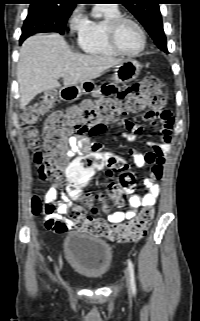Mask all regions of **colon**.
<instances>
[{
	"instance_id": "colon-1",
	"label": "colon",
	"mask_w": 200,
	"mask_h": 321,
	"mask_svg": "<svg viewBox=\"0 0 200 321\" xmlns=\"http://www.w3.org/2000/svg\"><path fill=\"white\" fill-rule=\"evenodd\" d=\"M140 83L141 90H136L129 96L105 97L96 101H86L65 111L53 112L45 123L43 150L34 124L40 116L55 106L56 95L46 93L37 104L23 113V136L33 152L38 173L47 181L66 182L65 198H78L87 205L91 204L92 196L85 193L83 188L98 170L104 168L112 169L118 175L105 193V197L115 205L122 206L126 195L134 190L136 176L124 158L93 152L69 162L67 139L74 133L99 135L107 124L115 123L129 113L145 109H164L167 96L162 81L156 76H148ZM32 208L35 214H47L54 210L50 205H43L37 196L32 200ZM68 214L76 228L81 231L104 236L112 242L127 243L137 241L146 234L154 211L151 207L145 208L138 217L121 225H110L96 216L89 215L82 206L74 205Z\"/></svg>"
}]
</instances>
